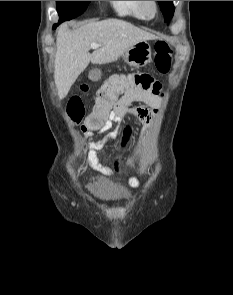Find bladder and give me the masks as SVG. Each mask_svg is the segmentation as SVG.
I'll return each mask as SVG.
<instances>
[{"label": "bladder", "mask_w": 233, "mask_h": 295, "mask_svg": "<svg viewBox=\"0 0 233 295\" xmlns=\"http://www.w3.org/2000/svg\"><path fill=\"white\" fill-rule=\"evenodd\" d=\"M86 190L90 195L108 202H123L132 198L129 189L102 176L92 178Z\"/></svg>", "instance_id": "1"}]
</instances>
